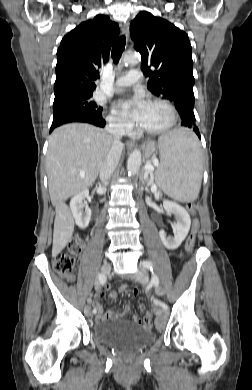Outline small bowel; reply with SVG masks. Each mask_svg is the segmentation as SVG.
Segmentation results:
<instances>
[{
	"label": "small bowel",
	"instance_id": "small-bowel-1",
	"mask_svg": "<svg viewBox=\"0 0 252 390\" xmlns=\"http://www.w3.org/2000/svg\"><path fill=\"white\" fill-rule=\"evenodd\" d=\"M122 286H124V285H122ZM122 286H120V288H119L120 293L125 292V289H121ZM102 295H103L102 291H97V293L95 294L94 300L92 302L94 309L97 310L96 321L99 322V321H104V320H109V319H119V318L125 317L128 314V312H129L128 306H126L122 312L107 311L104 313L102 305L99 302V298L102 297ZM109 296H110L111 300L115 301L118 298V293L115 290H112L109 288ZM139 308L141 311H145V307L143 305H140ZM132 320L137 325L143 324V321L137 316H134Z\"/></svg>",
	"mask_w": 252,
	"mask_h": 390
}]
</instances>
